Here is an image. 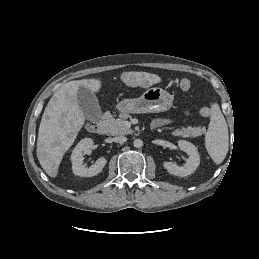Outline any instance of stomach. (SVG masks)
Instances as JSON below:
<instances>
[{
  "mask_svg": "<svg viewBox=\"0 0 259 259\" xmlns=\"http://www.w3.org/2000/svg\"><path fill=\"white\" fill-rule=\"evenodd\" d=\"M173 105V96L166 90L153 87L147 89L140 97L123 99L116 108L120 113H159L168 111Z\"/></svg>",
  "mask_w": 259,
  "mask_h": 259,
  "instance_id": "0dacf381",
  "label": "stomach"
}]
</instances>
